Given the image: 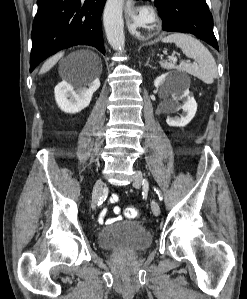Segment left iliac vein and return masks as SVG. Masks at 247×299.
Masks as SVG:
<instances>
[{"instance_id":"4c4485c4","label":"left iliac vein","mask_w":247,"mask_h":299,"mask_svg":"<svg viewBox=\"0 0 247 299\" xmlns=\"http://www.w3.org/2000/svg\"><path fill=\"white\" fill-rule=\"evenodd\" d=\"M143 176L144 175L141 171L137 170L135 172L134 177H133V185L135 187L146 186V185H144ZM151 209L155 216H158L160 214V206L155 200L151 201Z\"/></svg>"}]
</instances>
